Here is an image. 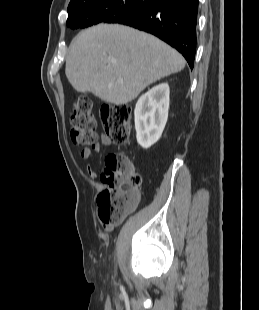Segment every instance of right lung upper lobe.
Masks as SVG:
<instances>
[{
    "label": "right lung upper lobe",
    "mask_w": 259,
    "mask_h": 310,
    "mask_svg": "<svg viewBox=\"0 0 259 310\" xmlns=\"http://www.w3.org/2000/svg\"><path fill=\"white\" fill-rule=\"evenodd\" d=\"M101 0H71L68 9H74L85 5H90Z\"/></svg>",
    "instance_id": "cb5924a9"
}]
</instances>
